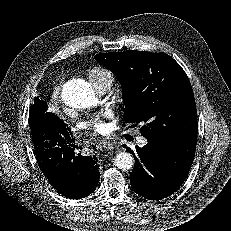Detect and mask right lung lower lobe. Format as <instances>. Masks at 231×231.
Returning a JSON list of instances; mask_svg holds the SVG:
<instances>
[{
    "mask_svg": "<svg viewBox=\"0 0 231 231\" xmlns=\"http://www.w3.org/2000/svg\"><path fill=\"white\" fill-rule=\"evenodd\" d=\"M47 109L45 103L30 125L38 166L52 186L66 198L88 196L99 181L96 157L76 154L71 131Z\"/></svg>",
    "mask_w": 231,
    "mask_h": 231,
    "instance_id": "1",
    "label": "right lung lower lobe"
}]
</instances>
